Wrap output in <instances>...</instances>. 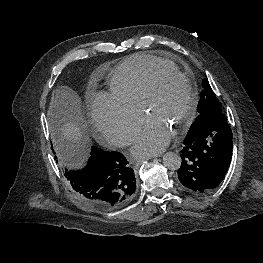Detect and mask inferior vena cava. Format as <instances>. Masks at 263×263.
Masks as SVG:
<instances>
[{
    "mask_svg": "<svg viewBox=\"0 0 263 263\" xmlns=\"http://www.w3.org/2000/svg\"><path fill=\"white\" fill-rule=\"evenodd\" d=\"M130 144H131V139L128 137L121 138V140L118 142L119 147L129 146Z\"/></svg>",
    "mask_w": 263,
    "mask_h": 263,
    "instance_id": "1",
    "label": "inferior vena cava"
}]
</instances>
